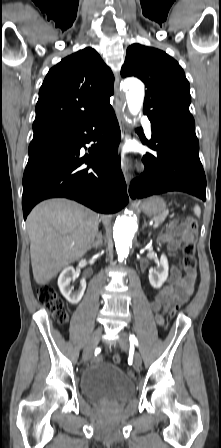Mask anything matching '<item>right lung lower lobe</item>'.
Returning a JSON list of instances; mask_svg holds the SVG:
<instances>
[{"label":"right lung lower lobe","mask_w":221,"mask_h":448,"mask_svg":"<svg viewBox=\"0 0 221 448\" xmlns=\"http://www.w3.org/2000/svg\"><path fill=\"white\" fill-rule=\"evenodd\" d=\"M121 132L111 105L29 145L23 175L24 220L40 201L52 197L76 200L91 209L113 214L129 201L117 148ZM96 142L89 154L80 151Z\"/></svg>","instance_id":"obj_1"}]
</instances>
